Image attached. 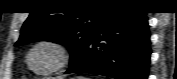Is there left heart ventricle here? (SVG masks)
<instances>
[{
  "label": "left heart ventricle",
  "mask_w": 177,
  "mask_h": 79,
  "mask_svg": "<svg viewBox=\"0 0 177 79\" xmlns=\"http://www.w3.org/2000/svg\"><path fill=\"white\" fill-rule=\"evenodd\" d=\"M57 57V52L53 48L42 46L33 52L31 63L37 70L46 71L56 64Z\"/></svg>",
  "instance_id": "left-heart-ventricle-1"
}]
</instances>
